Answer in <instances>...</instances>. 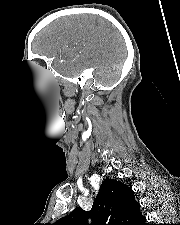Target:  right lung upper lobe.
Listing matches in <instances>:
<instances>
[{
    "mask_svg": "<svg viewBox=\"0 0 180 225\" xmlns=\"http://www.w3.org/2000/svg\"><path fill=\"white\" fill-rule=\"evenodd\" d=\"M88 216L93 224L87 223ZM143 218L132 189L120 181L107 178L101 184L91 211L77 207L53 225H138Z\"/></svg>",
    "mask_w": 180,
    "mask_h": 225,
    "instance_id": "cb5924a9",
    "label": "right lung upper lobe"
}]
</instances>
